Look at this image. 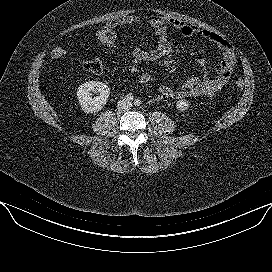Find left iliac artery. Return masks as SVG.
I'll return each mask as SVG.
<instances>
[{
    "mask_svg": "<svg viewBox=\"0 0 272 272\" xmlns=\"http://www.w3.org/2000/svg\"><path fill=\"white\" fill-rule=\"evenodd\" d=\"M141 104H142V102L140 99H135V101H134L135 106H140Z\"/></svg>",
    "mask_w": 272,
    "mask_h": 272,
    "instance_id": "1",
    "label": "left iliac artery"
}]
</instances>
